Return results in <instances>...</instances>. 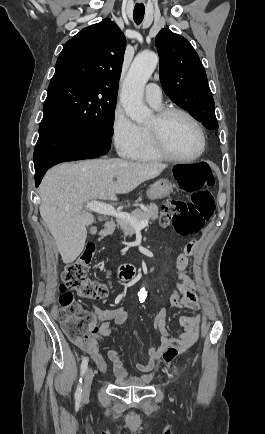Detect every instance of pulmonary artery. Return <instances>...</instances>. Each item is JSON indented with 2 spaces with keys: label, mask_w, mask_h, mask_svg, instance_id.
<instances>
[{
  "label": "pulmonary artery",
  "mask_w": 265,
  "mask_h": 434,
  "mask_svg": "<svg viewBox=\"0 0 265 434\" xmlns=\"http://www.w3.org/2000/svg\"><path fill=\"white\" fill-rule=\"evenodd\" d=\"M148 90L145 92L146 101L152 106H156L160 103L162 93L159 91L156 81H149L147 84Z\"/></svg>",
  "instance_id": "e3ab8cb5"
}]
</instances>
